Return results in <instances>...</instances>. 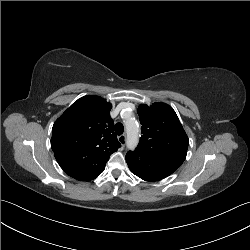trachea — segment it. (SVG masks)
<instances>
[{"label":"trachea","instance_id":"trachea-1","mask_svg":"<svg viewBox=\"0 0 250 250\" xmlns=\"http://www.w3.org/2000/svg\"><path fill=\"white\" fill-rule=\"evenodd\" d=\"M115 133L117 135H121L124 131V127L122 123H116L114 127Z\"/></svg>","mask_w":250,"mask_h":250}]
</instances>
